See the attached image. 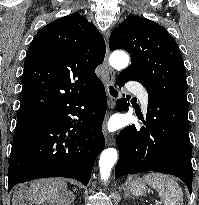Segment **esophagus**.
Wrapping results in <instances>:
<instances>
[{"label":"esophagus","instance_id":"obj_1","mask_svg":"<svg viewBox=\"0 0 199 205\" xmlns=\"http://www.w3.org/2000/svg\"><path fill=\"white\" fill-rule=\"evenodd\" d=\"M104 38H105V42H106V55H105V59H104V63H103L104 75H103L102 80L106 86V91H107V96H108V106H109V109L111 110L113 108V105H114V98L109 93V86L113 85V83H114L115 72L110 67V65L108 63V56H109V48H108L109 34H108V32L105 33ZM106 144L108 146H114L116 144L114 137L108 136Z\"/></svg>","mask_w":199,"mask_h":205}]
</instances>
